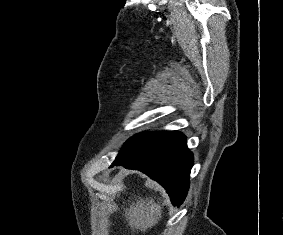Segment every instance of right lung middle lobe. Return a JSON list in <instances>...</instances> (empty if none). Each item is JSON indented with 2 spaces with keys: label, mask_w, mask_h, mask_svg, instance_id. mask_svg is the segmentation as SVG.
Returning <instances> with one entry per match:
<instances>
[{
  "label": "right lung middle lobe",
  "mask_w": 283,
  "mask_h": 235,
  "mask_svg": "<svg viewBox=\"0 0 283 235\" xmlns=\"http://www.w3.org/2000/svg\"><path fill=\"white\" fill-rule=\"evenodd\" d=\"M168 134L167 132H143L132 137L125 143L114 163L129 161L143 155Z\"/></svg>",
  "instance_id": "1"
}]
</instances>
